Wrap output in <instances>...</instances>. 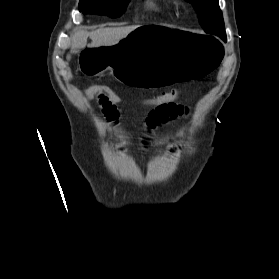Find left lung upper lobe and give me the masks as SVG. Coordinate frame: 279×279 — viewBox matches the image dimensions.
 Returning <instances> with one entry per match:
<instances>
[{"label":"left lung upper lobe","mask_w":279,"mask_h":279,"mask_svg":"<svg viewBox=\"0 0 279 279\" xmlns=\"http://www.w3.org/2000/svg\"><path fill=\"white\" fill-rule=\"evenodd\" d=\"M193 4L204 31L221 38L226 36L218 0H185Z\"/></svg>","instance_id":"5c2ea615"}]
</instances>
